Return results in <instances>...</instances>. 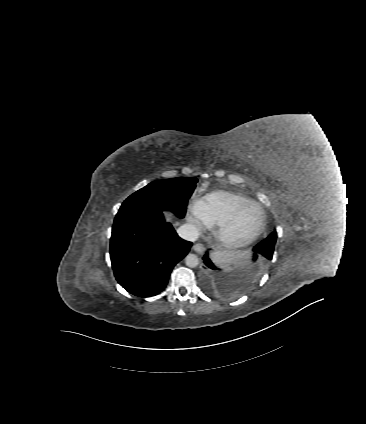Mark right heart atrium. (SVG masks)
Wrapping results in <instances>:
<instances>
[{
	"instance_id": "1",
	"label": "right heart atrium",
	"mask_w": 366,
	"mask_h": 424,
	"mask_svg": "<svg viewBox=\"0 0 366 424\" xmlns=\"http://www.w3.org/2000/svg\"><path fill=\"white\" fill-rule=\"evenodd\" d=\"M201 202L195 201L191 207V212L189 215V221L195 226L197 229H201L205 222L200 216Z\"/></svg>"
}]
</instances>
